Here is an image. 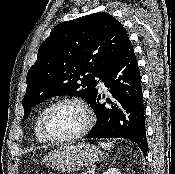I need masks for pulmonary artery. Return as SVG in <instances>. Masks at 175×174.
Returning a JSON list of instances; mask_svg holds the SVG:
<instances>
[{
  "instance_id": "obj_1",
  "label": "pulmonary artery",
  "mask_w": 175,
  "mask_h": 174,
  "mask_svg": "<svg viewBox=\"0 0 175 174\" xmlns=\"http://www.w3.org/2000/svg\"><path fill=\"white\" fill-rule=\"evenodd\" d=\"M99 88L101 90H104L105 89V85H104V83L102 81H100V83H99Z\"/></svg>"
}]
</instances>
